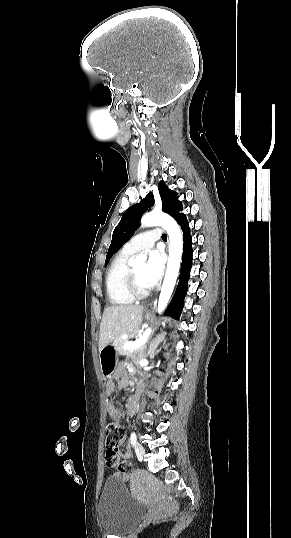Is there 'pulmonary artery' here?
Returning a JSON list of instances; mask_svg holds the SVG:
<instances>
[{"instance_id": "1", "label": "pulmonary artery", "mask_w": 291, "mask_h": 538, "mask_svg": "<svg viewBox=\"0 0 291 538\" xmlns=\"http://www.w3.org/2000/svg\"><path fill=\"white\" fill-rule=\"evenodd\" d=\"M161 238L160 229H152L143 233H140L133 237L124 248L132 253L139 251H146L153 247L155 242Z\"/></svg>"}]
</instances>
